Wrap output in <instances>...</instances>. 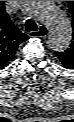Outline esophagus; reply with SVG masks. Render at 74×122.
I'll return each mask as SVG.
<instances>
[{
    "mask_svg": "<svg viewBox=\"0 0 74 122\" xmlns=\"http://www.w3.org/2000/svg\"><path fill=\"white\" fill-rule=\"evenodd\" d=\"M31 37H45L48 34V28L44 25H40L37 31H31Z\"/></svg>",
    "mask_w": 74,
    "mask_h": 122,
    "instance_id": "1",
    "label": "esophagus"
}]
</instances>
